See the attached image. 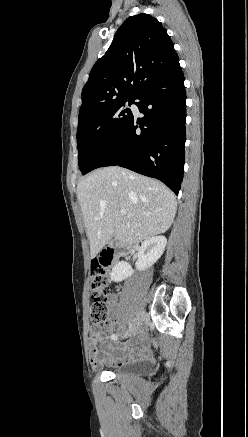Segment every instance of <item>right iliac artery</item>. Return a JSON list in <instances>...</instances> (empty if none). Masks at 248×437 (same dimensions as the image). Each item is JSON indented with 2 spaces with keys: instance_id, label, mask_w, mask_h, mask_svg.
Masks as SVG:
<instances>
[{
  "instance_id": "obj_1",
  "label": "right iliac artery",
  "mask_w": 248,
  "mask_h": 437,
  "mask_svg": "<svg viewBox=\"0 0 248 437\" xmlns=\"http://www.w3.org/2000/svg\"><path fill=\"white\" fill-rule=\"evenodd\" d=\"M131 327H132V324L130 323V324H129V328L131 329ZM111 338H112L113 340H117V335H116V334H113V335L111 336Z\"/></svg>"
}]
</instances>
